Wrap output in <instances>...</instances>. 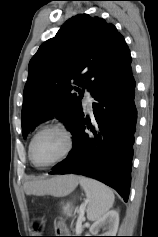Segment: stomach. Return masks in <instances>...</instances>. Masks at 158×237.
<instances>
[{
    "mask_svg": "<svg viewBox=\"0 0 158 237\" xmlns=\"http://www.w3.org/2000/svg\"><path fill=\"white\" fill-rule=\"evenodd\" d=\"M73 191V190H72ZM72 191L63 193L61 195H59L58 197H64L69 195ZM75 200L76 198L74 197L72 200H67V201H61L60 202V209L62 214H64L65 216L69 217L73 214V211L75 209Z\"/></svg>",
    "mask_w": 158,
    "mask_h": 237,
    "instance_id": "stomach-1",
    "label": "stomach"
}]
</instances>
